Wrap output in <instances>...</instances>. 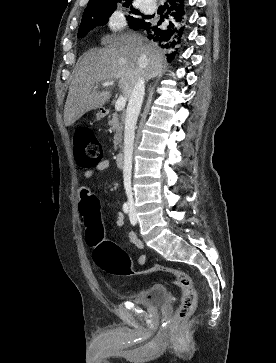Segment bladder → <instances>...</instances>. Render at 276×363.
<instances>
[{
    "label": "bladder",
    "mask_w": 276,
    "mask_h": 363,
    "mask_svg": "<svg viewBox=\"0 0 276 363\" xmlns=\"http://www.w3.org/2000/svg\"><path fill=\"white\" fill-rule=\"evenodd\" d=\"M168 290L164 285L154 284L133 294L130 301L148 308H157L166 303Z\"/></svg>",
    "instance_id": "31cf9c89"
}]
</instances>
